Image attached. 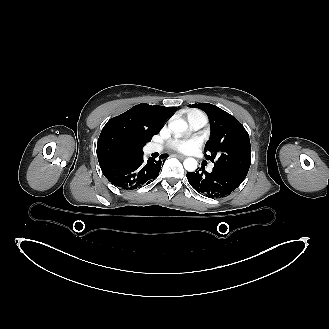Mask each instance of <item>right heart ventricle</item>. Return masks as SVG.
Instances as JSON below:
<instances>
[{"label": "right heart ventricle", "instance_id": "obj_1", "mask_svg": "<svg viewBox=\"0 0 329 329\" xmlns=\"http://www.w3.org/2000/svg\"><path fill=\"white\" fill-rule=\"evenodd\" d=\"M194 114H202V113L199 112V111H192V112H190V113L188 114V119H189L190 116H192V115H194Z\"/></svg>", "mask_w": 329, "mask_h": 329}]
</instances>
